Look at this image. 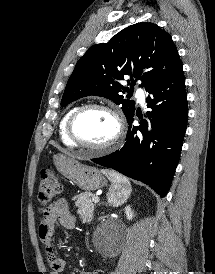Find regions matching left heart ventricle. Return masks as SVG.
<instances>
[{"instance_id": "b2bd125f", "label": "left heart ventricle", "mask_w": 215, "mask_h": 274, "mask_svg": "<svg viewBox=\"0 0 215 274\" xmlns=\"http://www.w3.org/2000/svg\"><path fill=\"white\" fill-rule=\"evenodd\" d=\"M78 137L91 145L108 142L116 132V123L111 114L100 109L85 111L75 124Z\"/></svg>"}]
</instances>
